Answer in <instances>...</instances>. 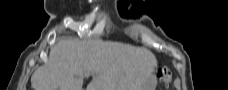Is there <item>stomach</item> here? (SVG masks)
<instances>
[{"label": "stomach", "mask_w": 228, "mask_h": 90, "mask_svg": "<svg viewBox=\"0 0 228 90\" xmlns=\"http://www.w3.org/2000/svg\"><path fill=\"white\" fill-rule=\"evenodd\" d=\"M155 81V76H152L150 83L146 86L145 90H152V84Z\"/></svg>", "instance_id": "1"}]
</instances>
